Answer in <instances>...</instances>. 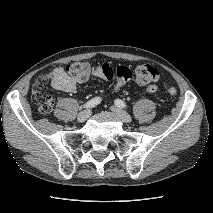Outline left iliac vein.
<instances>
[{
	"mask_svg": "<svg viewBox=\"0 0 213 213\" xmlns=\"http://www.w3.org/2000/svg\"><path fill=\"white\" fill-rule=\"evenodd\" d=\"M111 110L121 119L122 122H124V123L131 122V120H132L131 116L123 109H121L117 106H112Z\"/></svg>",
	"mask_w": 213,
	"mask_h": 213,
	"instance_id": "4c4485c4",
	"label": "left iliac vein"
}]
</instances>
